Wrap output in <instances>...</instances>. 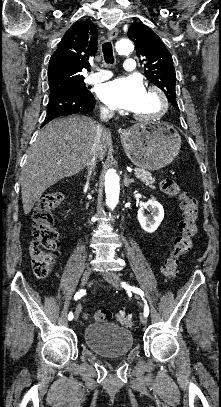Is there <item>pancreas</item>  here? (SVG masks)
I'll return each instance as SVG.
<instances>
[{
    "label": "pancreas",
    "mask_w": 221,
    "mask_h": 407,
    "mask_svg": "<svg viewBox=\"0 0 221 407\" xmlns=\"http://www.w3.org/2000/svg\"><path fill=\"white\" fill-rule=\"evenodd\" d=\"M135 171L139 173L137 176L142 182L151 188H155V179L152 177L151 173L140 168H136Z\"/></svg>",
    "instance_id": "pancreas-1"
}]
</instances>
